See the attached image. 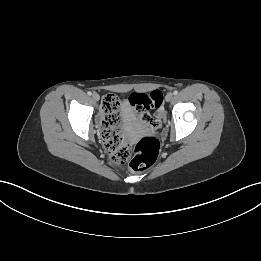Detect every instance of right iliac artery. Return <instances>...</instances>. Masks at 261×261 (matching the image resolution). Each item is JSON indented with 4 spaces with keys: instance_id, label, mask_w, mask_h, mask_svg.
<instances>
[{
    "instance_id": "1",
    "label": "right iliac artery",
    "mask_w": 261,
    "mask_h": 261,
    "mask_svg": "<svg viewBox=\"0 0 261 261\" xmlns=\"http://www.w3.org/2000/svg\"><path fill=\"white\" fill-rule=\"evenodd\" d=\"M87 94H88L89 96H91V95H92V93H91L90 91H88V92H87Z\"/></svg>"
}]
</instances>
